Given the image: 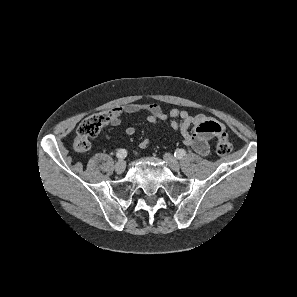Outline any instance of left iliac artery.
I'll return each instance as SVG.
<instances>
[{
  "label": "left iliac artery",
  "mask_w": 297,
  "mask_h": 297,
  "mask_svg": "<svg viewBox=\"0 0 297 297\" xmlns=\"http://www.w3.org/2000/svg\"><path fill=\"white\" fill-rule=\"evenodd\" d=\"M174 155L176 158L181 159L186 155V151L184 149H177Z\"/></svg>",
  "instance_id": "obj_1"
}]
</instances>
